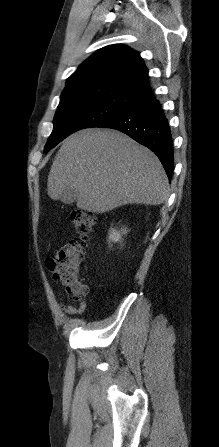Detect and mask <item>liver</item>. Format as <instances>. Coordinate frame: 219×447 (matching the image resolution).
<instances>
[{"label":"liver","instance_id":"1","mask_svg":"<svg viewBox=\"0 0 219 447\" xmlns=\"http://www.w3.org/2000/svg\"><path fill=\"white\" fill-rule=\"evenodd\" d=\"M48 196L76 192L77 207L104 213L126 204L159 205L169 182L156 155L114 130L84 129L66 138L48 175Z\"/></svg>","mask_w":219,"mask_h":447}]
</instances>
